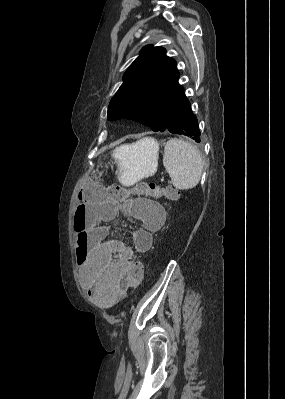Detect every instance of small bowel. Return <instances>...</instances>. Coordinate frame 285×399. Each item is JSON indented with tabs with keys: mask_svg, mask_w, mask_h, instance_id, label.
I'll list each match as a JSON object with an SVG mask.
<instances>
[{
	"mask_svg": "<svg viewBox=\"0 0 285 399\" xmlns=\"http://www.w3.org/2000/svg\"><path fill=\"white\" fill-rule=\"evenodd\" d=\"M129 213L140 223L130 236L133 247L119 239L104 236L102 231L75 229V254L82 260L81 278L88 291L106 309L115 305L134 284L130 278V267L135 251L145 253L152 245V236L159 232L165 221L164 210L154 203L132 207ZM91 214L101 217L102 208L92 207ZM115 214L119 215L121 211ZM74 223L77 226L76 218Z\"/></svg>",
	"mask_w": 285,
	"mask_h": 399,
	"instance_id": "obj_1",
	"label": "small bowel"
}]
</instances>
